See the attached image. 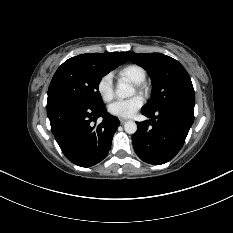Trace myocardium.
I'll use <instances>...</instances> for the list:
<instances>
[{
  "mask_svg": "<svg viewBox=\"0 0 233 233\" xmlns=\"http://www.w3.org/2000/svg\"><path fill=\"white\" fill-rule=\"evenodd\" d=\"M135 88L141 94H145L147 91V86L144 82L135 84Z\"/></svg>",
  "mask_w": 233,
  "mask_h": 233,
  "instance_id": "f54148a6",
  "label": "myocardium"
}]
</instances>
